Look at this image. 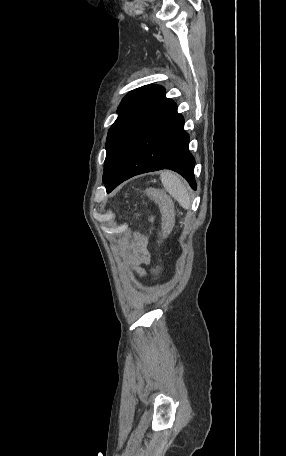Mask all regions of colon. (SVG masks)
<instances>
[{
	"instance_id": "colon-1",
	"label": "colon",
	"mask_w": 286,
	"mask_h": 456,
	"mask_svg": "<svg viewBox=\"0 0 286 456\" xmlns=\"http://www.w3.org/2000/svg\"><path fill=\"white\" fill-rule=\"evenodd\" d=\"M146 194L154 199L160 206L163 215V229L165 233H168L171 228L172 218V202L170 198L156 187L147 188Z\"/></svg>"
}]
</instances>
